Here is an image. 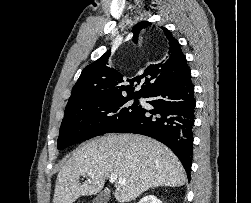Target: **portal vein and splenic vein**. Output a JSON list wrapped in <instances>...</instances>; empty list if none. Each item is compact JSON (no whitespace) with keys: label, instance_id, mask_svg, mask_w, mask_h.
Listing matches in <instances>:
<instances>
[{"label":"portal vein and splenic vein","instance_id":"18ae733b","mask_svg":"<svg viewBox=\"0 0 251 203\" xmlns=\"http://www.w3.org/2000/svg\"><path fill=\"white\" fill-rule=\"evenodd\" d=\"M109 181H110L111 183L116 182V181H117V175L114 174V173L110 174V176H109ZM125 182H126L125 179H119V180L117 181V183L120 184V185L125 184Z\"/></svg>","mask_w":251,"mask_h":203}]
</instances>
